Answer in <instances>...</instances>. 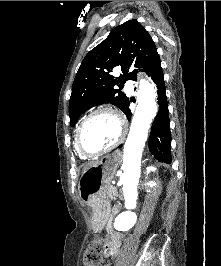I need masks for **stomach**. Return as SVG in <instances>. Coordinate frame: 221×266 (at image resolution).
Returning <instances> with one entry per match:
<instances>
[{"instance_id": "stomach-1", "label": "stomach", "mask_w": 221, "mask_h": 266, "mask_svg": "<svg viewBox=\"0 0 221 266\" xmlns=\"http://www.w3.org/2000/svg\"><path fill=\"white\" fill-rule=\"evenodd\" d=\"M120 163V156L112 153L102 157L95 165L87 168L80 177L78 192L80 199L92 209L91 224L94 229L105 222L109 204L107 188Z\"/></svg>"}]
</instances>
